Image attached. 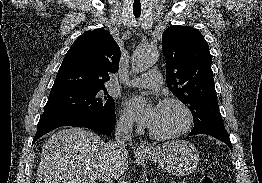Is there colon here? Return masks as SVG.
<instances>
[{
  "mask_svg": "<svg viewBox=\"0 0 262 183\" xmlns=\"http://www.w3.org/2000/svg\"><path fill=\"white\" fill-rule=\"evenodd\" d=\"M200 183H216V181L212 176L205 175L201 178Z\"/></svg>",
  "mask_w": 262,
  "mask_h": 183,
  "instance_id": "5ec220e1",
  "label": "colon"
}]
</instances>
